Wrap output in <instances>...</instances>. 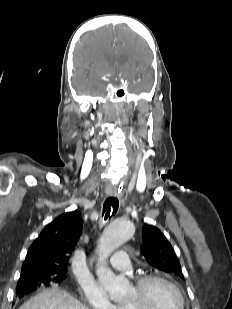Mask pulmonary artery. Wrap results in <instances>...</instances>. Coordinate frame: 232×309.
<instances>
[{
    "label": "pulmonary artery",
    "mask_w": 232,
    "mask_h": 309,
    "mask_svg": "<svg viewBox=\"0 0 232 309\" xmlns=\"http://www.w3.org/2000/svg\"><path fill=\"white\" fill-rule=\"evenodd\" d=\"M110 265L120 271L131 272L132 265L127 250L118 251L110 260Z\"/></svg>",
    "instance_id": "e3ab8cb5"
}]
</instances>
